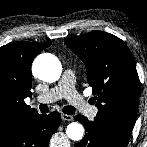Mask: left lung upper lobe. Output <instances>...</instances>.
Listing matches in <instances>:
<instances>
[{
  "instance_id": "obj_1",
  "label": "left lung upper lobe",
  "mask_w": 147,
  "mask_h": 147,
  "mask_svg": "<svg viewBox=\"0 0 147 147\" xmlns=\"http://www.w3.org/2000/svg\"><path fill=\"white\" fill-rule=\"evenodd\" d=\"M64 42L86 66L88 83L97 95L95 118L130 138L137 115L140 82L127 45L102 31L67 38Z\"/></svg>"
}]
</instances>
